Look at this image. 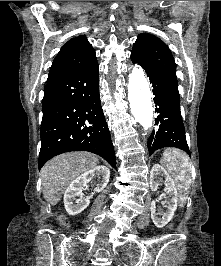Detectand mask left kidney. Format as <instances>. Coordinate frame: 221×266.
Instances as JSON below:
<instances>
[{
    "instance_id": "left-kidney-1",
    "label": "left kidney",
    "mask_w": 221,
    "mask_h": 266,
    "mask_svg": "<svg viewBox=\"0 0 221 266\" xmlns=\"http://www.w3.org/2000/svg\"><path fill=\"white\" fill-rule=\"evenodd\" d=\"M162 176L164 177L165 181V193L168 195L166 211L163 213L162 217H159L156 213V202L152 201L151 203V218L153 223L156 227L162 228L164 227L174 215V212L177 209V200H178V193L175 186V183L171 176L168 174L166 169L162 167L160 164H154L151 172H150V187L151 189H155L158 186L157 179Z\"/></svg>"
}]
</instances>
